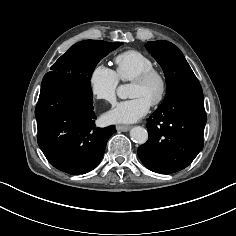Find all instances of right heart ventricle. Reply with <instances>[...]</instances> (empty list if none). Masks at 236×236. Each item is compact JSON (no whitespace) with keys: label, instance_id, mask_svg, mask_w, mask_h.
Segmentation results:
<instances>
[{"label":"right heart ventricle","instance_id":"e07e8e85","mask_svg":"<svg viewBox=\"0 0 236 236\" xmlns=\"http://www.w3.org/2000/svg\"><path fill=\"white\" fill-rule=\"evenodd\" d=\"M116 73L122 81H132L138 74L154 67L153 60L139 50H127L115 56Z\"/></svg>","mask_w":236,"mask_h":236}]
</instances>
